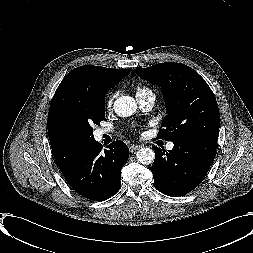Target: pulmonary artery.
Returning <instances> with one entry per match:
<instances>
[{"label":"pulmonary artery","instance_id":"e3ab8cb5","mask_svg":"<svg viewBox=\"0 0 253 253\" xmlns=\"http://www.w3.org/2000/svg\"><path fill=\"white\" fill-rule=\"evenodd\" d=\"M137 99H138L141 110L144 111V112L151 111L152 108L154 107V104H155V101H156V97H155L154 94H150V95H147V96H144V97H137ZM107 132H108V130H102L101 131L102 134H105ZM173 147H174V144L172 142H170L166 145V148L168 150L173 149Z\"/></svg>","mask_w":253,"mask_h":253}]
</instances>
